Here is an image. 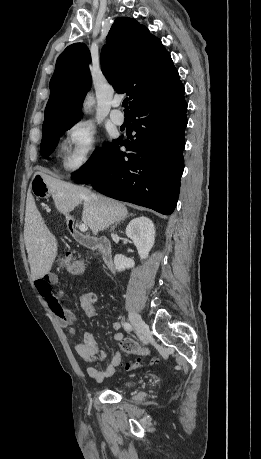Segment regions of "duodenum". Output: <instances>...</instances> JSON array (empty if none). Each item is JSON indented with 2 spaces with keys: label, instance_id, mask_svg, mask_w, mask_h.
<instances>
[{
  "label": "duodenum",
  "instance_id": "obj_1",
  "mask_svg": "<svg viewBox=\"0 0 261 459\" xmlns=\"http://www.w3.org/2000/svg\"><path fill=\"white\" fill-rule=\"evenodd\" d=\"M72 234L75 240L81 245L97 249L108 269L114 270L113 250L110 242L105 237H93L83 234L72 227Z\"/></svg>",
  "mask_w": 261,
  "mask_h": 459
}]
</instances>
